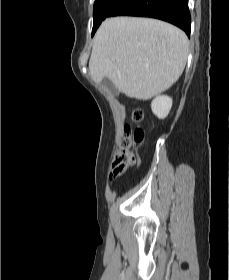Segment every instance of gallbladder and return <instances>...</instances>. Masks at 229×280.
Wrapping results in <instances>:
<instances>
[{"instance_id": "1", "label": "gallbladder", "mask_w": 229, "mask_h": 280, "mask_svg": "<svg viewBox=\"0 0 229 280\" xmlns=\"http://www.w3.org/2000/svg\"><path fill=\"white\" fill-rule=\"evenodd\" d=\"M101 85L106 87L113 95L117 96L119 94V91L116 89L112 81H110L108 78H104L101 82Z\"/></svg>"}]
</instances>
